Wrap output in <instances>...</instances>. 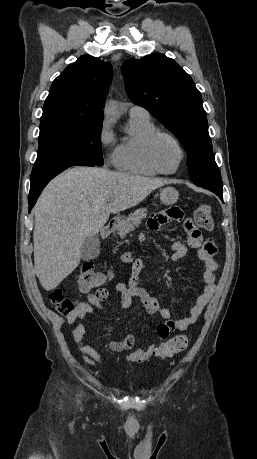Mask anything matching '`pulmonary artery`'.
Listing matches in <instances>:
<instances>
[{
  "mask_svg": "<svg viewBox=\"0 0 257 459\" xmlns=\"http://www.w3.org/2000/svg\"><path fill=\"white\" fill-rule=\"evenodd\" d=\"M129 113L130 115H146V116H149V113L143 108V107H140V106H132L129 110Z\"/></svg>",
  "mask_w": 257,
  "mask_h": 459,
  "instance_id": "pulmonary-artery-1",
  "label": "pulmonary artery"
}]
</instances>
